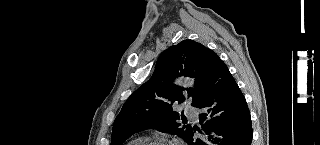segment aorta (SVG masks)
I'll use <instances>...</instances> for the list:
<instances>
[{"label":"aorta","mask_w":320,"mask_h":145,"mask_svg":"<svg viewBox=\"0 0 320 145\" xmlns=\"http://www.w3.org/2000/svg\"><path fill=\"white\" fill-rule=\"evenodd\" d=\"M177 84L183 85V86H192L193 81L190 79H178Z\"/></svg>","instance_id":"obj_1"}]
</instances>
